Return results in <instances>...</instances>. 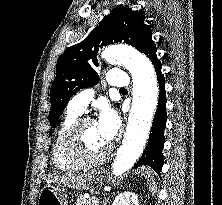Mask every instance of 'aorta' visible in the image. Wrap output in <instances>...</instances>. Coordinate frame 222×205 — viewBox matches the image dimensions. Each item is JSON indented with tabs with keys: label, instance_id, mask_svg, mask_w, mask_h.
<instances>
[{
	"label": "aorta",
	"instance_id": "aorta-1",
	"mask_svg": "<svg viewBox=\"0 0 222 205\" xmlns=\"http://www.w3.org/2000/svg\"><path fill=\"white\" fill-rule=\"evenodd\" d=\"M109 62L124 65L133 75V98L128 125L111 165L114 176L129 170L142 156L158 105L159 87L151 61L128 45H112L103 52Z\"/></svg>",
	"mask_w": 222,
	"mask_h": 205
}]
</instances>
